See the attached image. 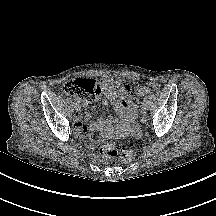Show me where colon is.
Listing matches in <instances>:
<instances>
[{"label": "colon", "mask_w": 216, "mask_h": 216, "mask_svg": "<svg viewBox=\"0 0 216 216\" xmlns=\"http://www.w3.org/2000/svg\"><path fill=\"white\" fill-rule=\"evenodd\" d=\"M157 86L154 83H141L132 88L135 96L141 97L150 93ZM63 92L74 96L85 103H94L101 95V86L93 79L77 78L64 84ZM101 154L110 157L115 163H127L133 158V150L130 144L105 143L100 148Z\"/></svg>", "instance_id": "5ec220e1"}]
</instances>
